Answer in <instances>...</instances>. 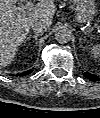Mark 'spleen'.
<instances>
[{
  "mask_svg": "<svg viewBox=\"0 0 100 118\" xmlns=\"http://www.w3.org/2000/svg\"><path fill=\"white\" fill-rule=\"evenodd\" d=\"M89 51H90L92 57H94L95 59H98L99 54H100L99 46L91 47V48H89Z\"/></svg>",
  "mask_w": 100,
  "mask_h": 118,
  "instance_id": "spleen-1",
  "label": "spleen"
}]
</instances>
